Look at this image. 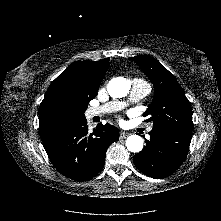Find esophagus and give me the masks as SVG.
<instances>
[{"instance_id":"34e87169","label":"esophagus","mask_w":221,"mask_h":221,"mask_svg":"<svg viewBox=\"0 0 221 221\" xmlns=\"http://www.w3.org/2000/svg\"><path fill=\"white\" fill-rule=\"evenodd\" d=\"M127 136H129V133H128V132H125V131H121V132H120V137H121V138H126Z\"/></svg>"}]
</instances>
